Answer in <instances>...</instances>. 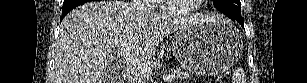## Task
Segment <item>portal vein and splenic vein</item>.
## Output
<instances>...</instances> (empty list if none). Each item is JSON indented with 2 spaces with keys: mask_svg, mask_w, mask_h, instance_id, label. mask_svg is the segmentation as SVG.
Returning a JSON list of instances; mask_svg holds the SVG:
<instances>
[{
  "mask_svg": "<svg viewBox=\"0 0 307 83\" xmlns=\"http://www.w3.org/2000/svg\"><path fill=\"white\" fill-rule=\"evenodd\" d=\"M118 55L123 56L125 60L132 64L143 77L149 79L153 75L151 68L148 65L141 63L138 59L134 58L129 53L128 48L121 49L120 52H118ZM163 79L167 82H170L172 80V76L168 75L163 77Z\"/></svg>",
  "mask_w": 307,
  "mask_h": 83,
  "instance_id": "1",
  "label": "portal vein and splenic vein"
}]
</instances>
